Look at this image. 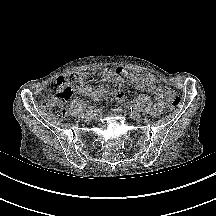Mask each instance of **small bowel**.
<instances>
[{
  "label": "small bowel",
  "instance_id": "1",
  "mask_svg": "<svg viewBox=\"0 0 216 216\" xmlns=\"http://www.w3.org/2000/svg\"><path fill=\"white\" fill-rule=\"evenodd\" d=\"M108 83H113L117 87H121L124 84H133L136 89L154 93L156 103L153 106V114L155 115L162 112L169 90L159 86L152 74L137 75L124 69H117L115 71L105 69L102 73V81L99 84L93 86L82 83L77 86L76 90L81 95L98 100L107 92ZM112 94L118 103H122L125 100V94L119 89L112 90Z\"/></svg>",
  "mask_w": 216,
  "mask_h": 216
}]
</instances>
